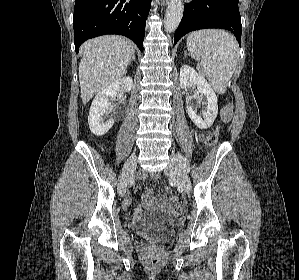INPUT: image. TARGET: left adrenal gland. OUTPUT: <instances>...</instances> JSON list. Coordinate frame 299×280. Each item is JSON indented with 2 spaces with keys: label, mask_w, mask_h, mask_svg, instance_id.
I'll list each match as a JSON object with an SVG mask.
<instances>
[{
  "label": "left adrenal gland",
  "mask_w": 299,
  "mask_h": 280,
  "mask_svg": "<svg viewBox=\"0 0 299 280\" xmlns=\"http://www.w3.org/2000/svg\"><path fill=\"white\" fill-rule=\"evenodd\" d=\"M185 57H187V52H186V51H185V53H184V58H185Z\"/></svg>",
  "instance_id": "1"
}]
</instances>
